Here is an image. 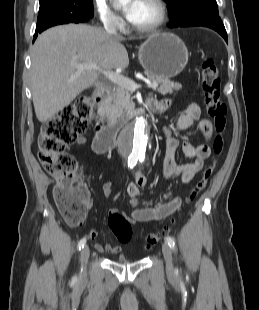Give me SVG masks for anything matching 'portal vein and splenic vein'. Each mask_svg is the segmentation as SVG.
<instances>
[{
  "label": "portal vein and splenic vein",
  "mask_w": 259,
  "mask_h": 310,
  "mask_svg": "<svg viewBox=\"0 0 259 310\" xmlns=\"http://www.w3.org/2000/svg\"><path fill=\"white\" fill-rule=\"evenodd\" d=\"M75 67L78 70H98L101 71L106 78H108L110 81L113 83L124 87L125 89H128L130 91H135L141 87V85L136 84L133 80L124 77L118 73H115L113 71H107V70H102L96 63L93 62H83V63H78L75 64ZM147 86L152 89H156L158 87L157 82H147Z\"/></svg>",
  "instance_id": "obj_1"
}]
</instances>
